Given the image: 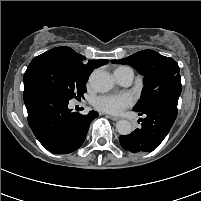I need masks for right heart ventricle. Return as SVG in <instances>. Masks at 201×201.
<instances>
[{
	"label": "right heart ventricle",
	"mask_w": 201,
	"mask_h": 201,
	"mask_svg": "<svg viewBox=\"0 0 201 201\" xmlns=\"http://www.w3.org/2000/svg\"><path fill=\"white\" fill-rule=\"evenodd\" d=\"M125 69H130L129 67L121 66L118 67L115 71H120V70H125Z\"/></svg>",
	"instance_id": "e07e8e85"
}]
</instances>
